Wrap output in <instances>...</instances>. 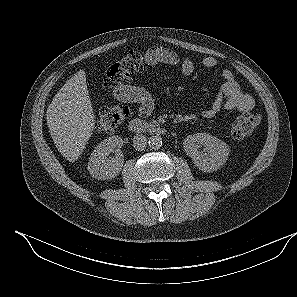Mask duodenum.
I'll return each instance as SVG.
<instances>
[{"label":"duodenum","instance_id":"410a0bca","mask_svg":"<svg viewBox=\"0 0 297 297\" xmlns=\"http://www.w3.org/2000/svg\"><path fill=\"white\" fill-rule=\"evenodd\" d=\"M127 129L133 133H151L156 135H163L166 132L163 126L141 119H132L127 124Z\"/></svg>","mask_w":297,"mask_h":297}]
</instances>
